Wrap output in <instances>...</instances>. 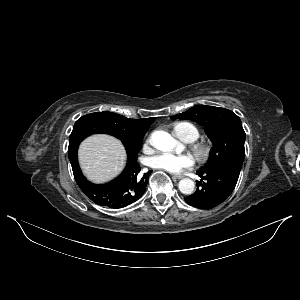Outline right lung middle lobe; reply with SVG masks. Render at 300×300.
<instances>
[{
  "label": "right lung middle lobe",
  "mask_w": 300,
  "mask_h": 300,
  "mask_svg": "<svg viewBox=\"0 0 300 300\" xmlns=\"http://www.w3.org/2000/svg\"><path fill=\"white\" fill-rule=\"evenodd\" d=\"M95 133H106L119 138L123 142L128 156L137 158V154L142 146L143 136L131 139L123 138L115 131L113 123L106 120L101 112L82 116L75 122L69 138V156L77 153L78 146L85 137Z\"/></svg>",
  "instance_id": "obj_1"
}]
</instances>
